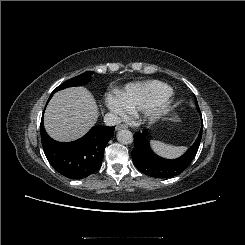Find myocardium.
Masks as SVG:
<instances>
[{
    "mask_svg": "<svg viewBox=\"0 0 245 245\" xmlns=\"http://www.w3.org/2000/svg\"><path fill=\"white\" fill-rule=\"evenodd\" d=\"M173 103L174 99L171 95H168L155 103L142 108L143 119L148 122L156 121L172 108Z\"/></svg>",
    "mask_w": 245,
    "mask_h": 245,
    "instance_id": "obj_1",
    "label": "myocardium"
}]
</instances>
